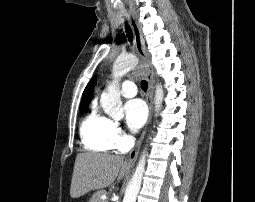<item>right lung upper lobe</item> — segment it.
I'll return each mask as SVG.
<instances>
[{"label": "right lung upper lobe", "instance_id": "obj_1", "mask_svg": "<svg viewBox=\"0 0 255 202\" xmlns=\"http://www.w3.org/2000/svg\"><path fill=\"white\" fill-rule=\"evenodd\" d=\"M96 84V77H93L86 86L81 100V105H88L91 101L92 91Z\"/></svg>", "mask_w": 255, "mask_h": 202}]
</instances>
